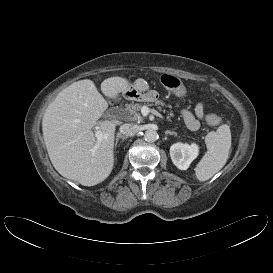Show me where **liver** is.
Here are the masks:
<instances>
[{
    "label": "liver",
    "instance_id": "1",
    "mask_svg": "<svg viewBox=\"0 0 273 273\" xmlns=\"http://www.w3.org/2000/svg\"><path fill=\"white\" fill-rule=\"evenodd\" d=\"M129 87V81L118 76L101 83L102 93L111 99ZM107 108L94 82L85 79L63 89L46 109L43 137L52 165L63 177L93 186L110 175L116 125L98 121Z\"/></svg>",
    "mask_w": 273,
    "mask_h": 273
}]
</instances>
